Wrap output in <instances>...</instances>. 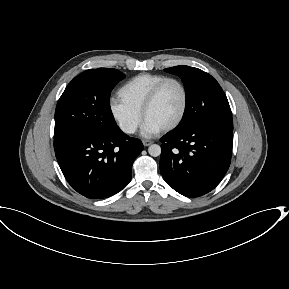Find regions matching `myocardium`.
<instances>
[{"instance_id":"obj_1","label":"myocardium","mask_w":289,"mask_h":289,"mask_svg":"<svg viewBox=\"0 0 289 289\" xmlns=\"http://www.w3.org/2000/svg\"><path fill=\"white\" fill-rule=\"evenodd\" d=\"M170 82L176 83L180 87L182 94H183V105H182L181 112H180L179 116L177 117V119L175 121H173L171 124H169V125H167L161 129L162 131H165V132L176 129L183 122V120L187 114V110H188V106H189V93H188V90H187L185 84L180 79H177L174 77H166L165 79H163L159 83H157L149 92L148 96L146 97V99L143 103L142 109H141V115H142L143 119H145L148 110L154 104V102L157 99L162 88Z\"/></svg>"}]
</instances>
